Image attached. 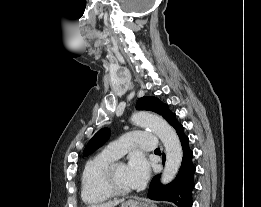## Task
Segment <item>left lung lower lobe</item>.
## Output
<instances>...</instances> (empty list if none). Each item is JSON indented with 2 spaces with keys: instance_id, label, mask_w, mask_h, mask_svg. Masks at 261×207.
<instances>
[{
  "instance_id": "obj_1",
  "label": "left lung lower lobe",
  "mask_w": 261,
  "mask_h": 207,
  "mask_svg": "<svg viewBox=\"0 0 261 207\" xmlns=\"http://www.w3.org/2000/svg\"><path fill=\"white\" fill-rule=\"evenodd\" d=\"M175 129L182 146L183 159L176 178L167 185L159 182L156 175L149 186L148 197L152 200L169 201L178 207H192V191L194 189L195 166L192 163L193 152L189 148V138L184 134L183 125L177 122ZM165 158H163V163Z\"/></svg>"
}]
</instances>
